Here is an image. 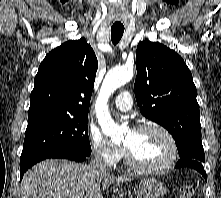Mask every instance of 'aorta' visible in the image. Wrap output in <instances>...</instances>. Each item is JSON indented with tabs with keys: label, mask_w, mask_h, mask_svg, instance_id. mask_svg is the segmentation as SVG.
<instances>
[{
	"label": "aorta",
	"mask_w": 221,
	"mask_h": 198,
	"mask_svg": "<svg viewBox=\"0 0 221 198\" xmlns=\"http://www.w3.org/2000/svg\"><path fill=\"white\" fill-rule=\"evenodd\" d=\"M133 74V67H119L109 71L105 76L96 102L98 123L102 132L109 136L111 141L122 139L123 129L111 118L107 108V101L116 89L132 79Z\"/></svg>",
	"instance_id": "aorta-1"
}]
</instances>
